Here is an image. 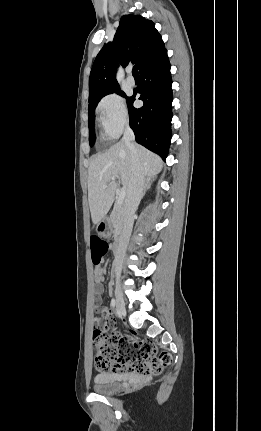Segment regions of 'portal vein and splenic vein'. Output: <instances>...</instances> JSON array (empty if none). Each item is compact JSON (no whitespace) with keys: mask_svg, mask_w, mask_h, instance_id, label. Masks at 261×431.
Returning a JSON list of instances; mask_svg holds the SVG:
<instances>
[{"mask_svg":"<svg viewBox=\"0 0 261 431\" xmlns=\"http://www.w3.org/2000/svg\"><path fill=\"white\" fill-rule=\"evenodd\" d=\"M115 179H116V177H112V178H111V181H115ZM104 187H106V186H104ZM125 195H126V191H125V189H124V188H121V189L119 190V193H118L117 204H122V203H123V200H124V198H125Z\"/></svg>","mask_w":261,"mask_h":431,"instance_id":"1","label":"portal vein and splenic vein"}]
</instances>
